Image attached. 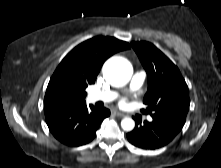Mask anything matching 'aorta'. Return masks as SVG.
Returning <instances> with one entry per match:
<instances>
[{
  "label": "aorta",
  "mask_w": 221,
  "mask_h": 168,
  "mask_svg": "<svg viewBox=\"0 0 221 168\" xmlns=\"http://www.w3.org/2000/svg\"><path fill=\"white\" fill-rule=\"evenodd\" d=\"M132 73L131 63L123 57H112L103 66L104 78L116 87L126 85L130 81ZM121 127L124 131H132L135 127V122L132 118L125 117L121 121Z\"/></svg>",
  "instance_id": "1"
}]
</instances>
